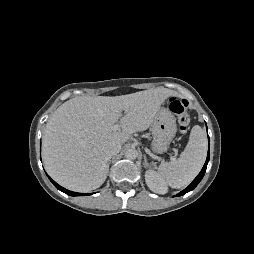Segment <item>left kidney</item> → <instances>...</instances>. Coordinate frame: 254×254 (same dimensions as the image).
Instances as JSON below:
<instances>
[{
  "label": "left kidney",
  "instance_id": "left-kidney-1",
  "mask_svg": "<svg viewBox=\"0 0 254 254\" xmlns=\"http://www.w3.org/2000/svg\"><path fill=\"white\" fill-rule=\"evenodd\" d=\"M145 181L151 191L158 194L167 193V185L157 172L147 170L145 172Z\"/></svg>",
  "mask_w": 254,
  "mask_h": 254
}]
</instances>
